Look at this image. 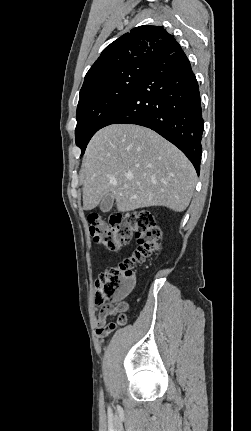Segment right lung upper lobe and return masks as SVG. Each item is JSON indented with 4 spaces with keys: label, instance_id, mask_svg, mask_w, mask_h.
Segmentation results:
<instances>
[{
    "label": "right lung upper lobe",
    "instance_id": "obj_1",
    "mask_svg": "<svg viewBox=\"0 0 251 431\" xmlns=\"http://www.w3.org/2000/svg\"><path fill=\"white\" fill-rule=\"evenodd\" d=\"M181 47L161 26L143 25L124 34L101 53L87 72L81 90L127 65L145 62L155 54H173Z\"/></svg>",
    "mask_w": 251,
    "mask_h": 431
}]
</instances>
